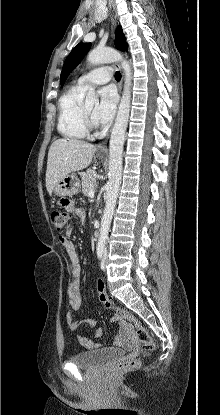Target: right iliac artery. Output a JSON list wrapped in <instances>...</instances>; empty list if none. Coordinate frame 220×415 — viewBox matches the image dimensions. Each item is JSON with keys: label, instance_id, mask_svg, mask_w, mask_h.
<instances>
[{"label": "right iliac artery", "instance_id": "1", "mask_svg": "<svg viewBox=\"0 0 220 415\" xmlns=\"http://www.w3.org/2000/svg\"><path fill=\"white\" fill-rule=\"evenodd\" d=\"M103 252H104V246L103 245H98L97 246V256H98L99 259L102 258Z\"/></svg>", "mask_w": 220, "mask_h": 415}]
</instances>
